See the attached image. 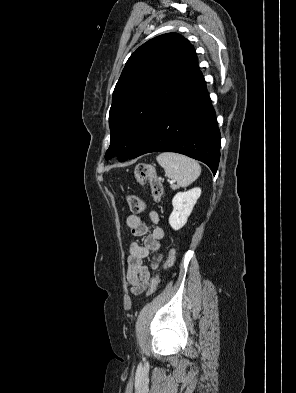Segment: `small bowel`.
<instances>
[{"instance_id": "1", "label": "small bowel", "mask_w": 296, "mask_h": 393, "mask_svg": "<svg viewBox=\"0 0 296 393\" xmlns=\"http://www.w3.org/2000/svg\"><path fill=\"white\" fill-rule=\"evenodd\" d=\"M149 220L155 225L149 233L148 227L136 214L127 217L126 223L134 236L143 237V243L132 242L127 258V279L130 291L133 295L141 294L146 290L151 278V271L158 268L162 259L161 242L165 239L162 227L158 226L159 213L151 210L148 213ZM154 254L150 256V253ZM148 260L145 264V260Z\"/></svg>"}]
</instances>
